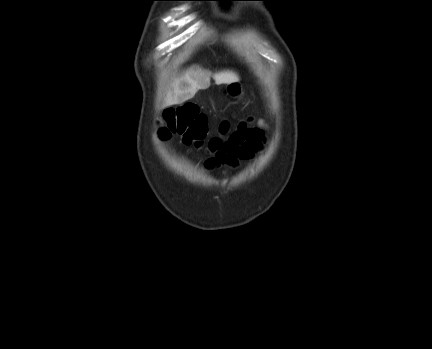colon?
<instances>
[{"label": "colon", "mask_w": 432, "mask_h": 349, "mask_svg": "<svg viewBox=\"0 0 432 349\" xmlns=\"http://www.w3.org/2000/svg\"><path fill=\"white\" fill-rule=\"evenodd\" d=\"M221 129L225 132L226 125L223 124ZM207 132V118L194 104H184L166 110L159 129L162 138H168L176 134L181 136L184 144L195 147L203 145ZM224 144L220 139L213 138L209 142V149L217 155L221 152Z\"/></svg>", "instance_id": "5ec220e1"}]
</instances>
